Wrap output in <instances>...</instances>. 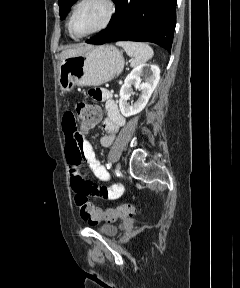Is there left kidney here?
<instances>
[{
	"label": "left kidney",
	"instance_id": "5707ae66",
	"mask_svg": "<svg viewBox=\"0 0 240 288\" xmlns=\"http://www.w3.org/2000/svg\"><path fill=\"white\" fill-rule=\"evenodd\" d=\"M145 82L141 83V77ZM160 80V69L157 65H140L135 67L126 77L120 89L119 108L123 116L130 117L141 112ZM141 91V95L134 104H129L128 100L132 94L131 86Z\"/></svg>",
	"mask_w": 240,
	"mask_h": 288
}]
</instances>
